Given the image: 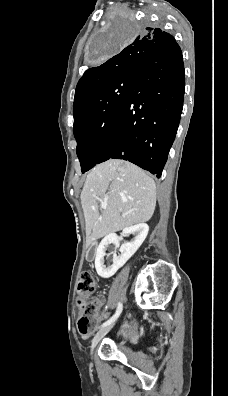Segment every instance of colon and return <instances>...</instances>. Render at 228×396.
<instances>
[{"label":"colon","instance_id":"1","mask_svg":"<svg viewBox=\"0 0 228 396\" xmlns=\"http://www.w3.org/2000/svg\"><path fill=\"white\" fill-rule=\"evenodd\" d=\"M95 287L96 283L91 272H82L77 284V306L80 310L78 329L82 335H87L94 330L97 322L98 310L103 303L101 298L91 300V295Z\"/></svg>","mask_w":228,"mask_h":396}]
</instances>
